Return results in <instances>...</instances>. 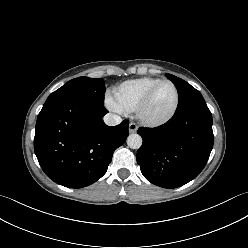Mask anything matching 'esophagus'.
Instances as JSON below:
<instances>
[{
    "instance_id": "1",
    "label": "esophagus",
    "mask_w": 248,
    "mask_h": 248,
    "mask_svg": "<svg viewBox=\"0 0 248 248\" xmlns=\"http://www.w3.org/2000/svg\"><path fill=\"white\" fill-rule=\"evenodd\" d=\"M137 125L135 124V123H133V122H131L130 124H129V132L130 133H135L136 131H137Z\"/></svg>"
}]
</instances>
